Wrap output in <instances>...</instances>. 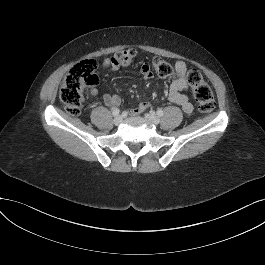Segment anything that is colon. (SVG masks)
I'll return each instance as SVG.
<instances>
[{
    "instance_id": "colon-1",
    "label": "colon",
    "mask_w": 265,
    "mask_h": 265,
    "mask_svg": "<svg viewBox=\"0 0 265 265\" xmlns=\"http://www.w3.org/2000/svg\"><path fill=\"white\" fill-rule=\"evenodd\" d=\"M135 56L136 53L133 49H125L117 52L112 57V61L120 67H128L132 64ZM152 68L160 78L169 77L173 73L172 66L159 57L152 60ZM96 69V62L86 59L76 63L65 75L59 97L70 115L76 116L81 112L84 102L83 90L98 83ZM187 82L193 91L199 110L203 113H210L214 109L215 100L210 86L200 71L191 69L187 75Z\"/></svg>"
}]
</instances>
